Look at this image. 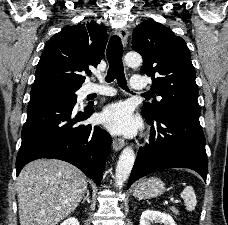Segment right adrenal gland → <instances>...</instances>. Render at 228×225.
Listing matches in <instances>:
<instances>
[{
	"instance_id": "2a0ac1e0",
	"label": "right adrenal gland",
	"mask_w": 228,
	"mask_h": 225,
	"mask_svg": "<svg viewBox=\"0 0 228 225\" xmlns=\"http://www.w3.org/2000/svg\"><path fill=\"white\" fill-rule=\"evenodd\" d=\"M84 201H87V203H90V199H89V191H86V197H84L82 203H84Z\"/></svg>"
}]
</instances>
